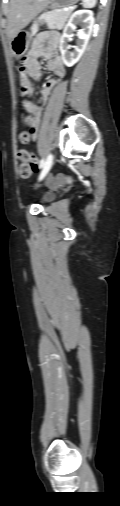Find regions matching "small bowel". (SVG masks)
<instances>
[{"label": "small bowel", "mask_w": 120, "mask_h": 506, "mask_svg": "<svg viewBox=\"0 0 120 506\" xmlns=\"http://www.w3.org/2000/svg\"><path fill=\"white\" fill-rule=\"evenodd\" d=\"M59 36L56 34H41L38 35L32 47L25 58L27 64V72L20 75L21 89L24 94L31 95L34 93L35 88L32 80H37L42 75L41 65L39 63L40 57L47 59L46 68L56 75L55 79H48L41 88V99L46 103L52 90L57 86L60 79L65 75V67L61 57L58 54ZM27 112L32 116L30 125L32 138L36 139L38 136V128L42 115V108L33 103L25 105Z\"/></svg>", "instance_id": "1"}]
</instances>
